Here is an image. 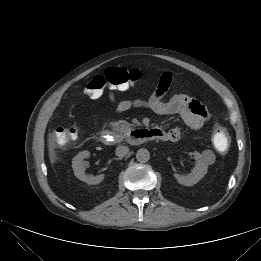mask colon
I'll return each mask as SVG.
<instances>
[{
	"label": "colon",
	"mask_w": 261,
	"mask_h": 261,
	"mask_svg": "<svg viewBox=\"0 0 261 261\" xmlns=\"http://www.w3.org/2000/svg\"><path fill=\"white\" fill-rule=\"evenodd\" d=\"M140 72L128 68H108L102 75L92 78L85 87V93L90 98L97 99L102 96L106 86L119 87L133 85L140 79ZM78 130L75 127H57L52 134V141L60 146L68 145L77 139ZM212 143L216 150L225 153L229 150L231 140L227 130L220 124L212 129Z\"/></svg>",
	"instance_id": "5ec220e1"
}]
</instances>
